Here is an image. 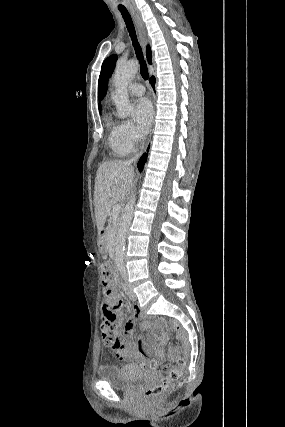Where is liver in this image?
Returning <instances> with one entry per match:
<instances>
[{
    "mask_svg": "<svg viewBox=\"0 0 285 427\" xmlns=\"http://www.w3.org/2000/svg\"><path fill=\"white\" fill-rule=\"evenodd\" d=\"M134 175V168L126 161L105 162L98 168L94 185V211L98 231L103 230L111 208L124 200Z\"/></svg>",
    "mask_w": 285,
    "mask_h": 427,
    "instance_id": "obj_1",
    "label": "liver"
}]
</instances>
